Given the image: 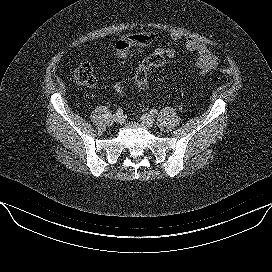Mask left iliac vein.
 I'll list each match as a JSON object with an SVG mask.
<instances>
[{"mask_svg":"<svg viewBox=\"0 0 272 272\" xmlns=\"http://www.w3.org/2000/svg\"><path fill=\"white\" fill-rule=\"evenodd\" d=\"M140 119H141L143 125L147 128H151L155 124V120H154L153 116L150 114H143Z\"/></svg>","mask_w":272,"mask_h":272,"instance_id":"1","label":"left iliac vein"}]
</instances>
